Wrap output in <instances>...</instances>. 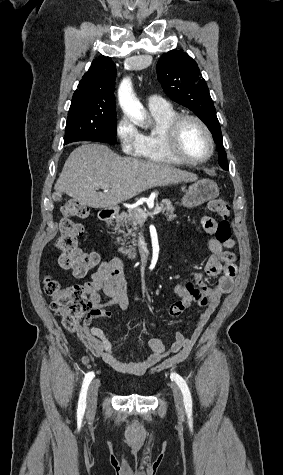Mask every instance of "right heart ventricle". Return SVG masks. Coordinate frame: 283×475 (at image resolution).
Instances as JSON below:
<instances>
[{
	"mask_svg": "<svg viewBox=\"0 0 283 475\" xmlns=\"http://www.w3.org/2000/svg\"><path fill=\"white\" fill-rule=\"evenodd\" d=\"M150 114L154 120V126L151 130H144L140 133L144 140V149L141 157L146 161L164 162L158 153V141L168 122L177 116L178 113L169 105L166 108L150 110Z\"/></svg>",
	"mask_w": 283,
	"mask_h": 475,
	"instance_id": "right-heart-ventricle-1",
	"label": "right heart ventricle"
}]
</instances>
